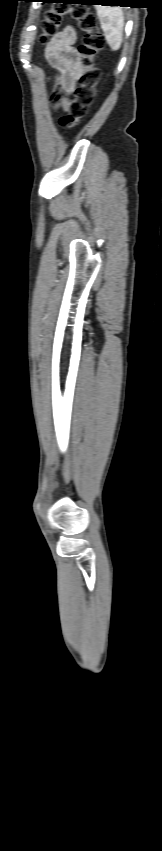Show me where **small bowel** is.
Listing matches in <instances>:
<instances>
[{
    "mask_svg": "<svg viewBox=\"0 0 162 851\" xmlns=\"http://www.w3.org/2000/svg\"><path fill=\"white\" fill-rule=\"evenodd\" d=\"M77 32L73 26H66L58 32L47 44L45 56L52 67L60 72L57 88L63 90L67 95L75 90V86L83 73L81 56L75 48ZM60 97L56 92L52 102L58 104ZM68 98L61 99L60 105L67 110Z\"/></svg>",
    "mask_w": 162,
    "mask_h": 851,
    "instance_id": "obj_1",
    "label": "small bowel"
}]
</instances>
